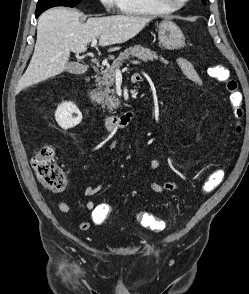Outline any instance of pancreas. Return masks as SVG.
Wrapping results in <instances>:
<instances>
[{"label":"pancreas","instance_id":"1","mask_svg":"<svg viewBox=\"0 0 249 294\" xmlns=\"http://www.w3.org/2000/svg\"><path fill=\"white\" fill-rule=\"evenodd\" d=\"M130 56L137 57L143 61H153L154 59L159 58L158 55L150 49L135 45L134 47L126 49L123 53H120V55L113 61L112 65L101 72L102 76L96 79L98 96L103 107H107L111 112L120 107L119 99L114 95V89H111L114 85L116 71L122 65V62L129 59ZM160 59L164 63H168L163 58L160 57Z\"/></svg>","mask_w":249,"mask_h":294}]
</instances>
